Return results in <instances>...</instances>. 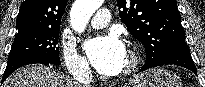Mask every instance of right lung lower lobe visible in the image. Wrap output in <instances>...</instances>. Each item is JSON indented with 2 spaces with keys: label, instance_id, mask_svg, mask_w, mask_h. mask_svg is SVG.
Segmentation results:
<instances>
[{
  "label": "right lung lower lobe",
  "instance_id": "obj_1",
  "mask_svg": "<svg viewBox=\"0 0 205 87\" xmlns=\"http://www.w3.org/2000/svg\"><path fill=\"white\" fill-rule=\"evenodd\" d=\"M35 63H41V64H45V65L51 64V63H49L45 60H41V59H37V58H33V57H13V58H9L8 62H7V67L5 69V72H4V75H3V78H2V82L5 81V79L11 73H13L16 69H18L19 67H22V66L28 65V64H35Z\"/></svg>",
  "mask_w": 205,
  "mask_h": 87
}]
</instances>
